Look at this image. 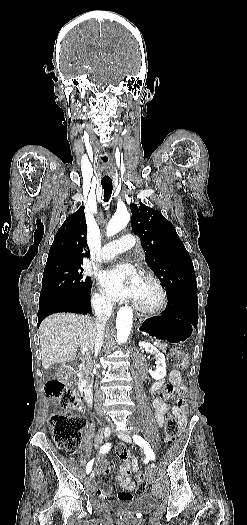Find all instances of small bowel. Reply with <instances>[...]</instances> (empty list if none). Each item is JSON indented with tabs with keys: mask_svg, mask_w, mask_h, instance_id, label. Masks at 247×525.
Masks as SVG:
<instances>
[{
	"mask_svg": "<svg viewBox=\"0 0 247 525\" xmlns=\"http://www.w3.org/2000/svg\"><path fill=\"white\" fill-rule=\"evenodd\" d=\"M169 381L171 384L176 386L177 392L180 396L184 395L185 388L182 385V376L179 370L174 369L170 372ZM155 390L156 388L154 391ZM153 409L155 420L160 427L163 426L165 416L169 412H172L174 415H176L181 424L184 422L185 415L183 409L181 410L177 407L170 408L162 396H157L154 398ZM117 453L121 460V465L116 479L123 488V491L117 495V499L120 501H129L133 498L132 491L135 488V485L130 478V474L139 471V462L138 459L135 456H132L130 452L124 447H119ZM102 473L104 475L113 474V469L104 468ZM95 485L98 487V491L101 493V498H109L108 495L104 494L108 491V482L106 479L102 478V476H99V480L95 482Z\"/></svg>",
	"mask_w": 247,
	"mask_h": 525,
	"instance_id": "obj_1",
	"label": "small bowel"
}]
</instances>
